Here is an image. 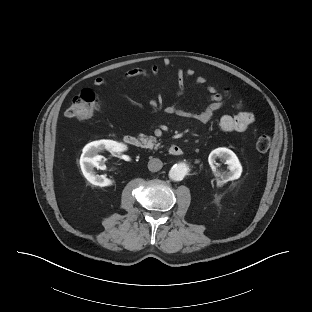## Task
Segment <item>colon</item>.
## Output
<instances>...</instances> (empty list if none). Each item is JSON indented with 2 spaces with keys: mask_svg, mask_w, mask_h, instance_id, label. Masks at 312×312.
I'll use <instances>...</instances> for the list:
<instances>
[{
  "mask_svg": "<svg viewBox=\"0 0 312 312\" xmlns=\"http://www.w3.org/2000/svg\"><path fill=\"white\" fill-rule=\"evenodd\" d=\"M98 109L99 103L94 93L90 89H84L73 98L65 115L76 120H88L95 116ZM271 143L272 139L269 135H261L257 138L256 149L265 152L270 148Z\"/></svg>",
  "mask_w": 312,
  "mask_h": 312,
  "instance_id": "colon-1",
  "label": "colon"
}]
</instances>
